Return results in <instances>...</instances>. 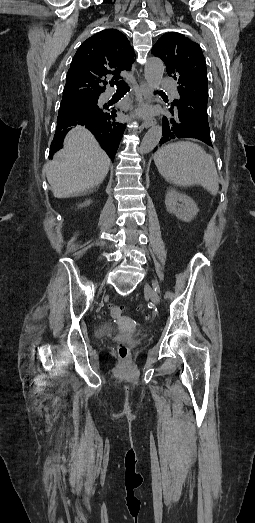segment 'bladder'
Here are the masks:
<instances>
[{
  "mask_svg": "<svg viewBox=\"0 0 255 523\" xmlns=\"http://www.w3.org/2000/svg\"><path fill=\"white\" fill-rule=\"evenodd\" d=\"M104 329H105L106 331H111V330H112V327H111V326H108V325H105V326H104ZM142 333H143L142 330H139V331H138V334H142ZM99 336H102V334H98V335H97V337H99Z\"/></svg>",
  "mask_w": 255,
  "mask_h": 523,
  "instance_id": "obj_1",
  "label": "bladder"
}]
</instances>
